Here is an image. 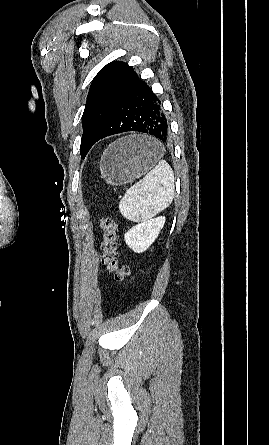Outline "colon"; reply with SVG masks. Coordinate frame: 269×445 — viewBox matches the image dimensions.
Wrapping results in <instances>:
<instances>
[{
  "label": "colon",
  "mask_w": 269,
  "mask_h": 445,
  "mask_svg": "<svg viewBox=\"0 0 269 445\" xmlns=\"http://www.w3.org/2000/svg\"><path fill=\"white\" fill-rule=\"evenodd\" d=\"M99 227L103 233L101 242V261L109 272L114 274L115 279L128 285L131 282L130 268L119 263L118 255V235L117 222L111 216H102L99 220Z\"/></svg>",
  "instance_id": "1"
}]
</instances>
